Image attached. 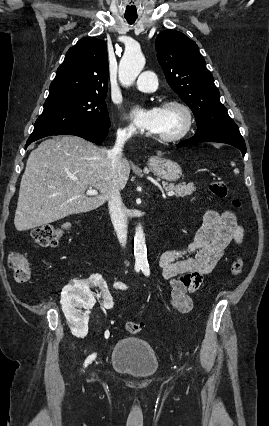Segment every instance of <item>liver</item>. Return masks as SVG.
Listing matches in <instances>:
<instances>
[{
  "instance_id": "1",
  "label": "liver",
  "mask_w": 269,
  "mask_h": 426,
  "mask_svg": "<svg viewBox=\"0 0 269 426\" xmlns=\"http://www.w3.org/2000/svg\"><path fill=\"white\" fill-rule=\"evenodd\" d=\"M110 151L73 135L43 141L27 160L20 183L14 225L17 231L44 226L72 214L97 209L109 198L112 181ZM130 174L122 158L120 188ZM99 195H85L87 188Z\"/></svg>"
}]
</instances>
